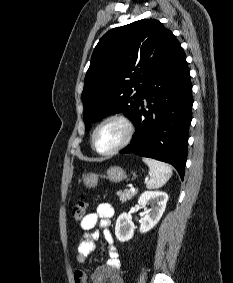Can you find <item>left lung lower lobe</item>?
I'll list each match as a JSON object with an SVG mask.
<instances>
[{
  "mask_svg": "<svg viewBox=\"0 0 233 283\" xmlns=\"http://www.w3.org/2000/svg\"><path fill=\"white\" fill-rule=\"evenodd\" d=\"M192 105L190 71L178 42L147 80L142 102L132 119L135 134L121 153L167 162L183 180Z\"/></svg>",
  "mask_w": 233,
  "mask_h": 283,
  "instance_id": "0a47b994",
  "label": "left lung lower lobe"
}]
</instances>
